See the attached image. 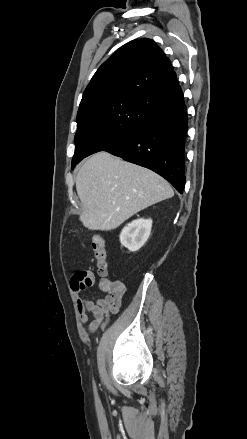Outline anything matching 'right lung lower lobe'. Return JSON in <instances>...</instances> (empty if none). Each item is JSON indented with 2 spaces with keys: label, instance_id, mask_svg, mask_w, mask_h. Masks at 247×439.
Here are the masks:
<instances>
[{
  "label": "right lung lower lobe",
  "instance_id": "1",
  "mask_svg": "<svg viewBox=\"0 0 247 439\" xmlns=\"http://www.w3.org/2000/svg\"><path fill=\"white\" fill-rule=\"evenodd\" d=\"M187 123L182 94L156 106L135 130L106 151L153 170L182 193Z\"/></svg>",
  "mask_w": 247,
  "mask_h": 439
}]
</instances>
